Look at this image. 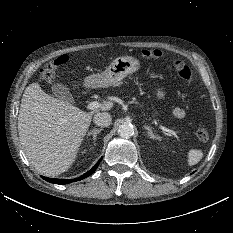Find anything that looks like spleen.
Segmentation results:
<instances>
[{"mask_svg": "<svg viewBox=\"0 0 233 233\" xmlns=\"http://www.w3.org/2000/svg\"><path fill=\"white\" fill-rule=\"evenodd\" d=\"M203 157V152L201 150L192 149L188 154V164L190 166L197 164Z\"/></svg>", "mask_w": 233, "mask_h": 233, "instance_id": "1", "label": "spleen"}]
</instances>
